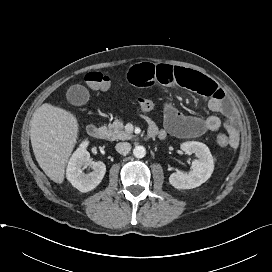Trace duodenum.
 <instances>
[{
    "mask_svg": "<svg viewBox=\"0 0 272 272\" xmlns=\"http://www.w3.org/2000/svg\"><path fill=\"white\" fill-rule=\"evenodd\" d=\"M86 132L91 138H94L97 140H104L107 137V132L105 128L98 124L88 125L86 128ZM153 136H155V134L152 131H148L147 137L150 138Z\"/></svg>",
    "mask_w": 272,
    "mask_h": 272,
    "instance_id": "410a0bca",
    "label": "duodenum"
}]
</instances>
